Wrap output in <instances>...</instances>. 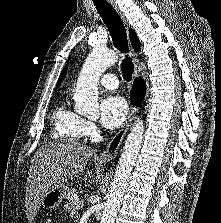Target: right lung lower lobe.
<instances>
[{"label": "right lung lower lobe", "instance_id": "right-lung-lower-lobe-1", "mask_svg": "<svg viewBox=\"0 0 221 223\" xmlns=\"http://www.w3.org/2000/svg\"><path fill=\"white\" fill-rule=\"evenodd\" d=\"M146 85L140 78L136 79L130 93V100L133 105L139 106L144 98Z\"/></svg>", "mask_w": 221, "mask_h": 223}]
</instances>
